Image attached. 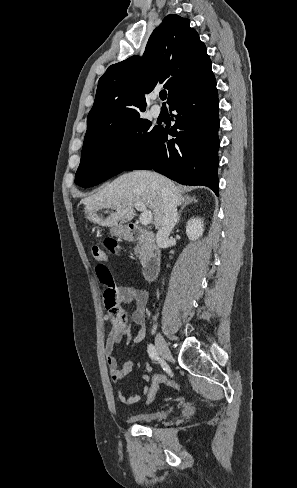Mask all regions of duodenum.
Returning <instances> with one entry per match:
<instances>
[{"instance_id": "obj_1", "label": "duodenum", "mask_w": 297, "mask_h": 488, "mask_svg": "<svg viewBox=\"0 0 297 488\" xmlns=\"http://www.w3.org/2000/svg\"><path fill=\"white\" fill-rule=\"evenodd\" d=\"M122 237L127 241H140L145 244L146 254L142 272L147 281H152L161 267L160 251L153 243V233L134 224H130L122 230Z\"/></svg>"}]
</instances>
